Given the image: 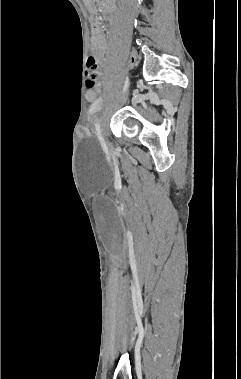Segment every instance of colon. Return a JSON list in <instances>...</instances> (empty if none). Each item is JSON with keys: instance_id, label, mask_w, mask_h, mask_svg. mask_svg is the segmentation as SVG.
Masks as SVG:
<instances>
[{"instance_id": "colon-1", "label": "colon", "mask_w": 241, "mask_h": 379, "mask_svg": "<svg viewBox=\"0 0 241 379\" xmlns=\"http://www.w3.org/2000/svg\"><path fill=\"white\" fill-rule=\"evenodd\" d=\"M94 27H93V30H94ZM126 57H127V60H128L127 62L129 65H134L135 63H137L138 62V47L130 46L129 53H127ZM86 71H87V86L89 88H92L95 86L96 81L100 76V67L95 58L89 57V59L87 60ZM97 93L103 94L104 88L98 87Z\"/></svg>"}]
</instances>
